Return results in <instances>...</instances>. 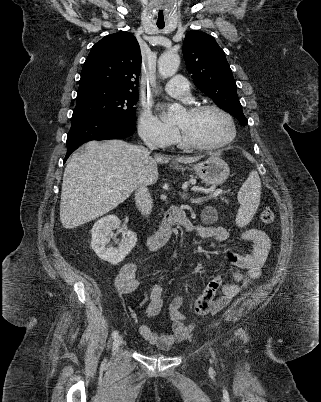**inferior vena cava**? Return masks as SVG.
Masks as SVG:
<instances>
[{"instance_id": "602c4592", "label": "inferior vena cava", "mask_w": 321, "mask_h": 402, "mask_svg": "<svg viewBox=\"0 0 321 402\" xmlns=\"http://www.w3.org/2000/svg\"><path fill=\"white\" fill-rule=\"evenodd\" d=\"M145 144L150 150L156 148L150 141H145ZM135 203L142 215L148 216L151 213L153 200L146 186L139 185L136 187Z\"/></svg>"}]
</instances>
